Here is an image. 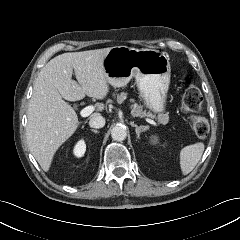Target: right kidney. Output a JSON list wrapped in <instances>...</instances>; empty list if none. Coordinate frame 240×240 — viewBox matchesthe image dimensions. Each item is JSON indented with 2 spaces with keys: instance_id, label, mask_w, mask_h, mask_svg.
Listing matches in <instances>:
<instances>
[{
  "instance_id": "right-kidney-1",
  "label": "right kidney",
  "mask_w": 240,
  "mask_h": 240,
  "mask_svg": "<svg viewBox=\"0 0 240 240\" xmlns=\"http://www.w3.org/2000/svg\"><path fill=\"white\" fill-rule=\"evenodd\" d=\"M86 151V144L83 140H80L74 147V154L77 157H82Z\"/></svg>"
}]
</instances>
